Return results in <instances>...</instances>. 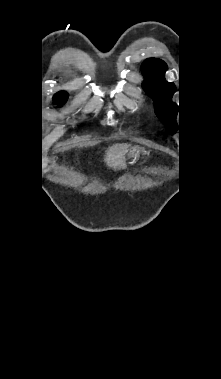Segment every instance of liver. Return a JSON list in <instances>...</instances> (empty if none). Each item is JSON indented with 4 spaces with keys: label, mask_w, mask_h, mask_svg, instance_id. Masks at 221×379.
Returning a JSON list of instances; mask_svg holds the SVG:
<instances>
[{
    "label": "liver",
    "mask_w": 221,
    "mask_h": 379,
    "mask_svg": "<svg viewBox=\"0 0 221 379\" xmlns=\"http://www.w3.org/2000/svg\"><path fill=\"white\" fill-rule=\"evenodd\" d=\"M129 149L128 144H115L106 151L105 162L113 169H120L124 166L125 155Z\"/></svg>",
    "instance_id": "6515ba94"
}]
</instances>
